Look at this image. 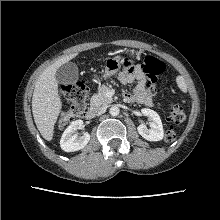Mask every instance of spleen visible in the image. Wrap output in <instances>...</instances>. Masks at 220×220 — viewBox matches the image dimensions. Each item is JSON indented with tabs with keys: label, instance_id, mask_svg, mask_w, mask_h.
Here are the masks:
<instances>
[{
	"label": "spleen",
	"instance_id": "spleen-1",
	"mask_svg": "<svg viewBox=\"0 0 220 220\" xmlns=\"http://www.w3.org/2000/svg\"><path fill=\"white\" fill-rule=\"evenodd\" d=\"M176 82L178 87L183 91V92H187V85L186 82L184 80V78L182 76H178L176 78Z\"/></svg>",
	"mask_w": 220,
	"mask_h": 220
}]
</instances>
